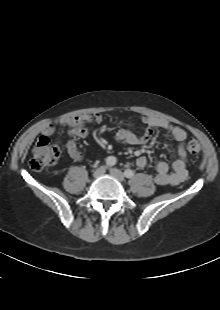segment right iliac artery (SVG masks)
<instances>
[{
  "label": "right iliac artery",
  "mask_w": 220,
  "mask_h": 310,
  "mask_svg": "<svg viewBox=\"0 0 220 310\" xmlns=\"http://www.w3.org/2000/svg\"><path fill=\"white\" fill-rule=\"evenodd\" d=\"M116 162H117V160L113 156H109V157L106 158V165L107 166H113V165L116 164Z\"/></svg>",
  "instance_id": "obj_1"
}]
</instances>
